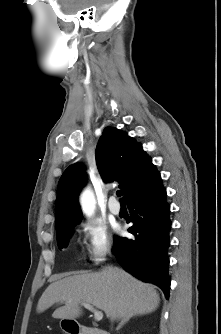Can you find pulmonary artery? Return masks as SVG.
Instances as JSON below:
<instances>
[{"label": "pulmonary artery", "instance_id": "e3ab8cb5", "mask_svg": "<svg viewBox=\"0 0 221 334\" xmlns=\"http://www.w3.org/2000/svg\"><path fill=\"white\" fill-rule=\"evenodd\" d=\"M108 207L111 213H113L114 215H118L121 211L120 205L118 204L115 197H110Z\"/></svg>", "mask_w": 221, "mask_h": 334}]
</instances>
